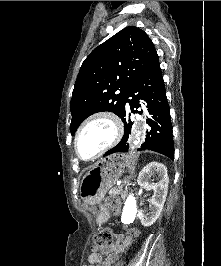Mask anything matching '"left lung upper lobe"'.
Wrapping results in <instances>:
<instances>
[{"label": "left lung upper lobe", "mask_w": 221, "mask_h": 266, "mask_svg": "<svg viewBox=\"0 0 221 266\" xmlns=\"http://www.w3.org/2000/svg\"><path fill=\"white\" fill-rule=\"evenodd\" d=\"M159 65L148 35L129 26L96 47L84 60L77 76L70 110V132L90 115L111 111L119 117L131 85Z\"/></svg>", "instance_id": "1"}]
</instances>
